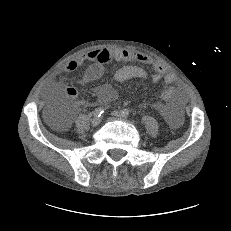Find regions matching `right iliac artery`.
<instances>
[{
	"label": "right iliac artery",
	"instance_id": "right-iliac-artery-1",
	"mask_svg": "<svg viewBox=\"0 0 231 231\" xmlns=\"http://www.w3.org/2000/svg\"><path fill=\"white\" fill-rule=\"evenodd\" d=\"M104 112V108L103 107H98L94 110V116L95 117H100L101 114Z\"/></svg>",
	"mask_w": 231,
	"mask_h": 231
}]
</instances>
